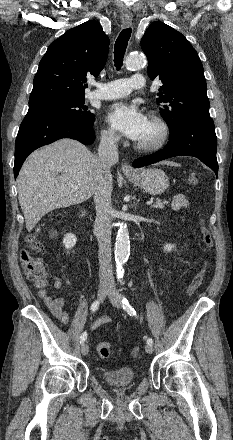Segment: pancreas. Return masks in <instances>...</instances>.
I'll return each instance as SVG.
<instances>
[{
    "instance_id": "obj_1",
    "label": "pancreas",
    "mask_w": 233,
    "mask_h": 440,
    "mask_svg": "<svg viewBox=\"0 0 233 440\" xmlns=\"http://www.w3.org/2000/svg\"><path fill=\"white\" fill-rule=\"evenodd\" d=\"M168 203H169L168 201H161L160 199H158V200L156 201V203L152 205V207H153V208H156V209H157V208H161V209H162V208H164V205H165V204H168Z\"/></svg>"
}]
</instances>
